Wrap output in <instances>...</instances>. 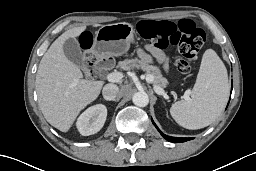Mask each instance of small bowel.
<instances>
[{
	"label": "small bowel",
	"instance_id": "small-bowel-1",
	"mask_svg": "<svg viewBox=\"0 0 256 171\" xmlns=\"http://www.w3.org/2000/svg\"><path fill=\"white\" fill-rule=\"evenodd\" d=\"M145 50L149 51L165 68L167 67V58L162 50L149 45L145 46ZM141 53L143 52L141 51Z\"/></svg>",
	"mask_w": 256,
	"mask_h": 171
}]
</instances>
